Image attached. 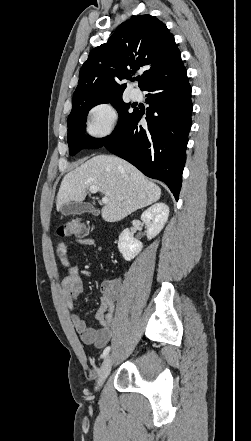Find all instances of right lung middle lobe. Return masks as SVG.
<instances>
[{
	"label": "right lung middle lobe",
	"mask_w": 251,
	"mask_h": 441,
	"mask_svg": "<svg viewBox=\"0 0 251 441\" xmlns=\"http://www.w3.org/2000/svg\"><path fill=\"white\" fill-rule=\"evenodd\" d=\"M102 103H111L119 114V121L110 136L104 138H91L85 135L86 117L88 111ZM130 103H125L122 96H114L107 98H82L72 103V111L68 117V135L67 141L69 145V154L75 155L82 149H96L102 147L108 139L117 134L133 116V112L129 111Z\"/></svg>",
	"instance_id": "right-lung-middle-lobe-1"
}]
</instances>
